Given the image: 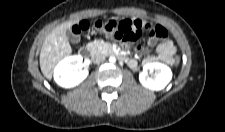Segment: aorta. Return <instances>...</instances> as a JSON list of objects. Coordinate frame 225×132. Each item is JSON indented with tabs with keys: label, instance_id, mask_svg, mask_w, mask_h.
I'll list each match as a JSON object with an SVG mask.
<instances>
[{
	"label": "aorta",
	"instance_id": "1",
	"mask_svg": "<svg viewBox=\"0 0 225 132\" xmlns=\"http://www.w3.org/2000/svg\"><path fill=\"white\" fill-rule=\"evenodd\" d=\"M109 61H110V63H115L116 59H115V57H110Z\"/></svg>",
	"mask_w": 225,
	"mask_h": 132
}]
</instances>
